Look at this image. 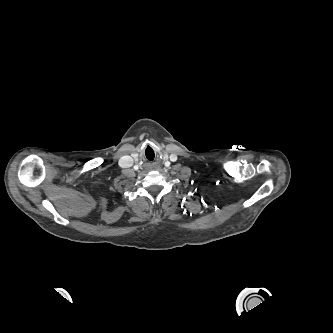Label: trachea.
<instances>
[{"mask_svg": "<svg viewBox=\"0 0 333 333\" xmlns=\"http://www.w3.org/2000/svg\"><path fill=\"white\" fill-rule=\"evenodd\" d=\"M151 150H152V149H151ZM154 157H155V154H154V151L152 150V151H151V159H149L148 157H147V158H148V160L152 161V160L154 159Z\"/></svg>", "mask_w": 333, "mask_h": 333, "instance_id": "3493384b", "label": "trachea"}]
</instances>
